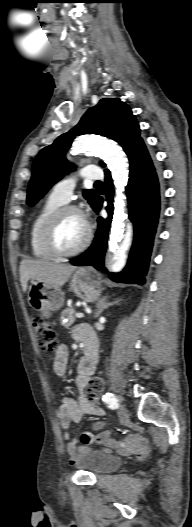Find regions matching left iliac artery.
<instances>
[{
	"label": "left iliac artery",
	"mask_w": 192,
	"mask_h": 527,
	"mask_svg": "<svg viewBox=\"0 0 192 527\" xmlns=\"http://www.w3.org/2000/svg\"><path fill=\"white\" fill-rule=\"evenodd\" d=\"M103 400L108 404V407L111 409H116L119 406V401L117 397L110 392H107L103 396Z\"/></svg>",
	"instance_id": "1"
}]
</instances>
